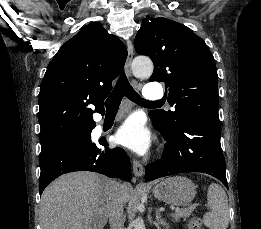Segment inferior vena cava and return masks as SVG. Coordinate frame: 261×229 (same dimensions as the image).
<instances>
[{
	"mask_svg": "<svg viewBox=\"0 0 261 229\" xmlns=\"http://www.w3.org/2000/svg\"><path fill=\"white\" fill-rule=\"evenodd\" d=\"M121 189H123V185H120L118 181H113L108 193L107 215L110 229H124V203L120 195Z\"/></svg>",
	"mask_w": 261,
	"mask_h": 229,
	"instance_id": "1",
	"label": "inferior vena cava"
}]
</instances>
